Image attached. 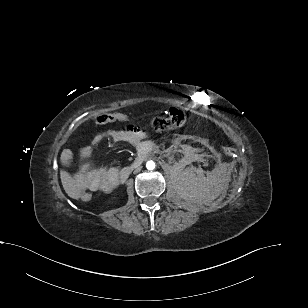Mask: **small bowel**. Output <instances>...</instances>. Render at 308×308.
<instances>
[{
	"instance_id": "1",
	"label": "small bowel",
	"mask_w": 308,
	"mask_h": 308,
	"mask_svg": "<svg viewBox=\"0 0 308 308\" xmlns=\"http://www.w3.org/2000/svg\"><path fill=\"white\" fill-rule=\"evenodd\" d=\"M146 133L139 127L129 126L124 130H112L106 134L98 135L94 139V144L100 143L103 139L109 138L115 142H127L134 146L144 143ZM91 149L84 152V157H89ZM71 156L69 152L63 155V162L69 166ZM75 181V190L81 192L89 191H110L115 187L118 181V169L114 167L95 168L89 162H84L80 171L73 174Z\"/></svg>"
}]
</instances>
